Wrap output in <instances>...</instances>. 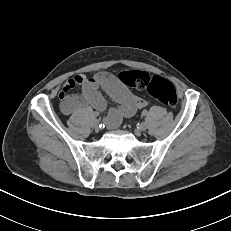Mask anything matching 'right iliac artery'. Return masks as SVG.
<instances>
[{
	"label": "right iliac artery",
	"instance_id": "1",
	"mask_svg": "<svg viewBox=\"0 0 231 231\" xmlns=\"http://www.w3.org/2000/svg\"><path fill=\"white\" fill-rule=\"evenodd\" d=\"M93 116H94V117H98V116H99V113H98V112H93Z\"/></svg>",
	"mask_w": 231,
	"mask_h": 231
}]
</instances>
